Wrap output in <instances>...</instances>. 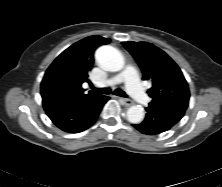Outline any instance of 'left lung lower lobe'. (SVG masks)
I'll return each mask as SVG.
<instances>
[{
	"label": "left lung lower lobe",
	"mask_w": 222,
	"mask_h": 187,
	"mask_svg": "<svg viewBox=\"0 0 222 187\" xmlns=\"http://www.w3.org/2000/svg\"><path fill=\"white\" fill-rule=\"evenodd\" d=\"M187 107L188 101L183 100L151 102L146 108L144 121L132 126L144 134H160L174 126L183 117Z\"/></svg>",
	"instance_id": "1"
}]
</instances>
